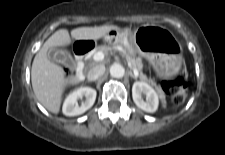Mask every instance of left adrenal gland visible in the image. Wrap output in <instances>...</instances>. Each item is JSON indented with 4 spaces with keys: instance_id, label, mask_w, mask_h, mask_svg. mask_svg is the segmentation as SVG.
I'll return each instance as SVG.
<instances>
[{
    "instance_id": "left-adrenal-gland-1",
    "label": "left adrenal gland",
    "mask_w": 225,
    "mask_h": 155,
    "mask_svg": "<svg viewBox=\"0 0 225 155\" xmlns=\"http://www.w3.org/2000/svg\"><path fill=\"white\" fill-rule=\"evenodd\" d=\"M129 74L133 79L137 80V76H135L131 71L129 72Z\"/></svg>"
}]
</instances>
